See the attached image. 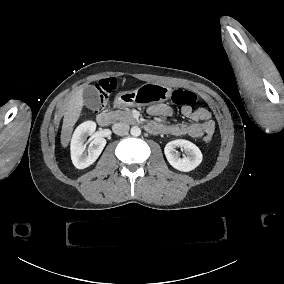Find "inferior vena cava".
<instances>
[{
	"label": "inferior vena cava",
	"mask_w": 284,
	"mask_h": 284,
	"mask_svg": "<svg viewBox=\"0 0 284 284\" xmlns=\"http://www.w3.org/2000/svg\"><path fill=\"white\" fill-rule=\"evenodd\" d=\"M112 131L117 135H125L129 131V125L124 122H118L112 125Z\"/></svg>",
	"instance_id": "obj_1"
}]
</instances>
